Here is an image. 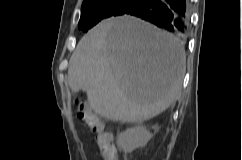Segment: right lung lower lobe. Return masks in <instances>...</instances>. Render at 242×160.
<instances>
[{"label": "right lung lower lobe", "instance_id": "98d812e1", "mask_svg": "<svg viewBox=\"0 0 242 160\" xmlns=\"http://www.w3.org/2000/svg\"><path fill=\"white\" fill-rule=\"evenodd\" d=\"M125 14L139 17L181 38L187 33V0H141Z\"/></svg>", "mask_w": 242, "mask_h": 160}]
</instances>
